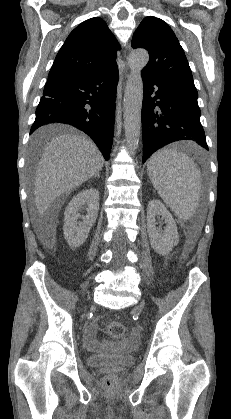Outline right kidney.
I'll return each mask as SVG.
<instances>
[{"label": "right kidney", "mask_w": 231, "mask_h": 419, "mask_svg": "<svg viewBox=\"0 0 231 419\" xmlns=\"http://www.w3.org/2000/svg\"><path fill=\"white\" fill-rule=\"evenodd\" d=\"M87 205V214L80 217L78 211ZM99 210V192L95 188L82 190L72 198L64 213V238L72 247L81 246L87 239L90 229L95 223Z\"/></svg>", "instance_id": "1"}]
</instances>
